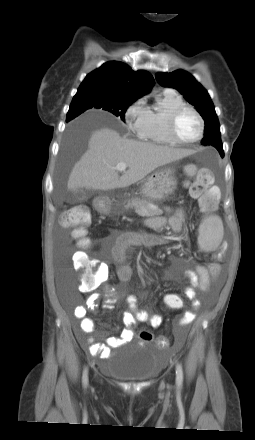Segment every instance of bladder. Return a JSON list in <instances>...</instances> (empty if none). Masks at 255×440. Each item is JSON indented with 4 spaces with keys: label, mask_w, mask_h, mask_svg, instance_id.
<instances>
[{
    "label": "bladder",
    "mask_w": 255,
    "mask_h": 440,
    "mask_svg": "<svg viewBox=\"0 0 255 440\" xmlns=\"http://www.w3.org/2000/svg\"><path fill=\"white\" fill-rule=\"evenodd\" d=\"M158 369L155 350L137 344L114 361L111 375L124 382H143L155 377Z\"/></svg>",
    "instance_id": "bladder-1"
}]
</instances>
